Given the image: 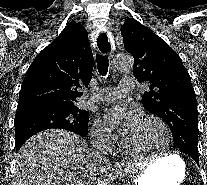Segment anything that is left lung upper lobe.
Segmentation results:
<instances>
[{
	"instance_id": "5c2ea615",
	"label": "left lung upper lobe",
	"mask_w": 207,
	"mask_h": 185,
	"mask_svg": "<svg viewBox=\"0 0 207 185\" xmlns=\"http://www.w3.org/2000/svg\"><path fill=\"white\" fill-rule=\"evenodd\" d=\"M121 34L125 50L134 57V76L147 84L142 96L144 108L168 124L175 148L186 154H198L196 95L181 58L136 20H126Z\"/></svg>"
}]
</instances>
